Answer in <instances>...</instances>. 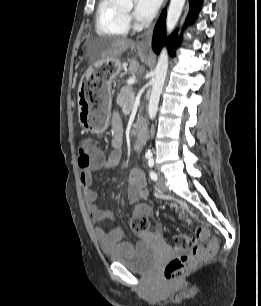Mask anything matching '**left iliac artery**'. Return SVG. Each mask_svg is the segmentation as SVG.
Returning a JSON list of instances; mask_svg holds the SVG:
<instances>
[{
    "label": "left iliac artery",
    "mask_w": 261,
    "mask_h": 306,
    "mask_svg": "<svg viewBox=\"0 0 261 306\" xmlns=\"http://www.w3.org/2000/svg\"><path fill=\"white\" fill-rule=\"evenodd\" d=\"M148 166L150 167V173H149V175H150V178L152 179V180H154V181H156L157 180V174L152 170V167L154 166V160H153V158H150L149 159V161H148Z\"/></svg>",
    "instance_id": "left-iliac-artery-1"
}]
</instances>
